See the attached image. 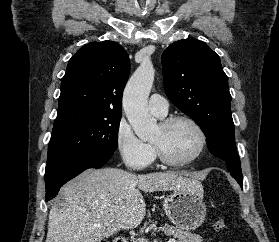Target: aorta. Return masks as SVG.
<instances>
[{
	"label": "aorta",
	"mask_w": 279,
	"mask_h": 242,
	"mask_svg": "<svg viewBox=\"0 0 279 242\" xmlns=\"http://www.w3.org/2000/svg\"><path fill=\"white\" fill-rule=\"evenodd\" d=\"M155 71L152 65L142 63L128 81L123 93V109L135 134L148 140L157 129V121L147 108V99L153 85Z\"/></svg>",
	"instance_id": "1"
}]
</instances>
